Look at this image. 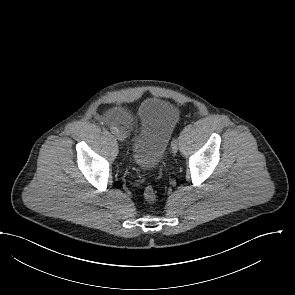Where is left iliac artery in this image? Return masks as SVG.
Masks as SVG:
<instances>
[{"label": "left iliac artery", "mask_w": 295, "mask_h": 295, "mask_svg": "<svg viewBox=\"0 0 295 295\" xmlns=\"http://www.w3.org/2000/svg\"><path fill=\"white\" fill-rule=\"evenodd\" d=\"M177 142H178L177 138H173L171 144H175V143H177Z\"/></svg>", "instance_id": "obj_1"}]
</instances>
